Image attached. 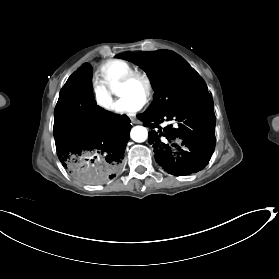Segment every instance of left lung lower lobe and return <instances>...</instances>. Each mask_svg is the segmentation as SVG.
<instances>
[{
  "label": "left lung lower lobe",
  "instance_id": "left-lung-lower-lobe-1",
  "mask_svg": "<svg viewBox=\"0 0 279 279\" xmlns=\"http://www.w3.org/2000/svg\"><path fill=\"white\" fill-rule=\"evenodd\" d=\"M138 118L144 125L158 128L149 132L156 162L169 174L188 175L202 170L209 162L215 146V114L209 92L184 102L160 114L143 113ZM164 120H175L177 125L164 129ZM153 122V123H152Z\"/></svg>",
  "mask_w": 279,
  "mask_h": 279
}]
</instances>
